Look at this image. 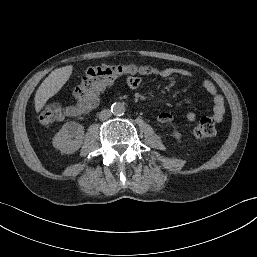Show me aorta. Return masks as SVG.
<instances>
[{"label":"aorta","mask_w":257,"mask_h":257,"mask_svg":"<svg viewBox=\"0 0 257 257\" xmlns=\"http://www.w3.org/2000/svg\"><path fill=\"white\" fill-rule=\"evenodd\" d=\"M111 112L117 116L123 115L125 112L124 104L120 102L113 103L111 106Z\"/></svg>","instance_id":"obj_1"}]
</instances>
